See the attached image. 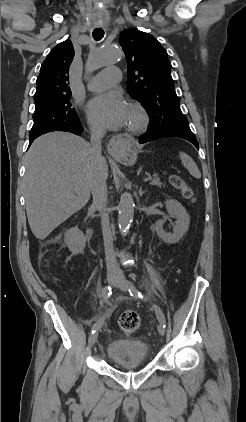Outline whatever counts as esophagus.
Segmentation results:
<instances>
[{"mask_svg": "<svg viewBox=\"0 0 246 422\" xmlns=\"http://www.w3.org/2000/svg\"><path fill=\"white\" fill-rule=\"evenodd\" d=\"M122 147V140L120 137H113L107 145V150L111 155H116L119 153Z\"/></svg>", "mask_w": 246, "mask_h": 422, "instance_id": "esophagus-1", "label": "esophagus"}]
</instances>
